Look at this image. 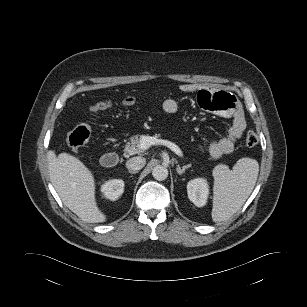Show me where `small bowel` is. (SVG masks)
<instances>
[{"label":"small bowel","instance_id":"obj_1","mask_svg":"<svg viewBox=\"0 0 307 307\" xmlns=\"http://www.w3.org/2000/svg\"><path fill=\"white\" fill-rule=\"evenodd\" d=\"M179 89L187 94L197 93V102L200 107L213 111L218 116L231 119V126L227 135L210 143L206 150L213 159L231 153L246 128V121L236 98L227 92H212L207 87L192 83L182 84ZM162 108L166 113L173 114L178 110V102L175 99L168 98L164 100Z\"/></svg>","mask_w":307,"mask_h":307}]
</instances>
